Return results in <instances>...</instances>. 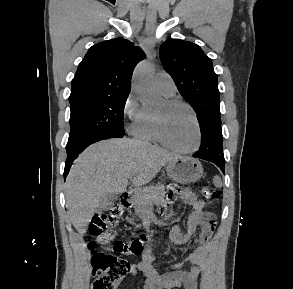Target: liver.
<instances>
[{"label": "liver", "instance_id": "liver-1", "mask_svg": "<svg viewBox=\"0 0 293 289\" xmlns=\"http://www.w3.org/2000/svg\"><path fill=\"white\" fill-rule=\"evenodd\" d=\"M177 155L147 142L116 138L89 146L75 160L66 180L69 218L83 235L102 197L126 191L128 178L138 187L149 183Z\"/></svg>", "mask_w": 293, "mask_h": 289}]
</instances>
